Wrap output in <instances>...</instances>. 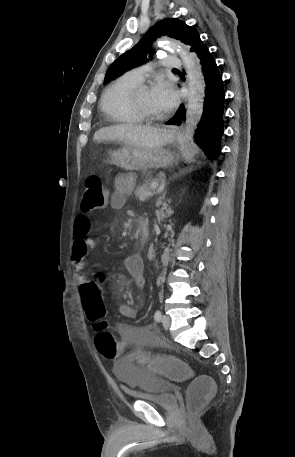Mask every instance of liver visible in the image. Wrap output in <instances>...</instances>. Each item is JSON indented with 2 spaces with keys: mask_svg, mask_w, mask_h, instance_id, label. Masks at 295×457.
Listing matches in <instances>:
<instances>
[{
  "mask_svg": "<svg viewBox=\"0 0 295 457\" xmlns=\"http://www.w3.org/2000/svg\"><path fill=\"white\" fill-rule=\"evenodd\" d=\"M167 129L150 126L119 124L96 131L95 142L116 141L139 149H152L165 145L168 141Z\"/></svg>",
  "mask_w": 295,
  "mask_h": 457,
  "instance_id": "obj_1",
  "label": "liver"
}]
</instances>
